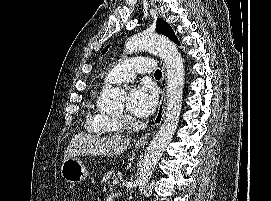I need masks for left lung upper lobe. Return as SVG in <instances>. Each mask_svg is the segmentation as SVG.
<instances>
[{
	"label": "left lung upper lobe",
	"instance_id": "left-lung-upper-lobe-1",
	"mask_svg": "<svg viewBox=\"0 0 271 201\" xmlns=\"http://www.w3.org/2000/svg\"><path fill=\"white\" fill-rule=\"evenodd\" d=\"M156 32L167 36L168 38H170L172 41H174L175 43H177L179 45L178 39H177L174 31L170 27V25L166 21H164L160 18L157 19ZM108 47L109 46H107L102 51V54H104L107 51Z\"/></svg>",
	"mask_w": 271,
	"mask_h": 201
}]
</instances>
